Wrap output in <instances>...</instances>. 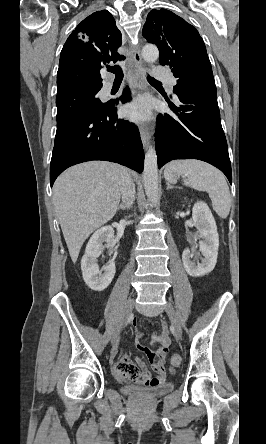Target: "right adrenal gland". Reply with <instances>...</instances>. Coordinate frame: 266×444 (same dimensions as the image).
<instances>
[{
    "instance_id": "obj_1",
    "label": "right adrenal gland",
    "mask_w": 266,
    "mask_h": 444,
    "mask_svg": "<svg viewBox=\"0 0 266 444\" xmlns=\"http://www.w3.org/2000/svg\"><path fill=\"white\" fill-rule=\"evenodd\" d=\"M120 209L124 211L126 208L121 204V205L118 207V210H120Z\"/></svg>"
}]
</instances>
